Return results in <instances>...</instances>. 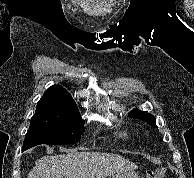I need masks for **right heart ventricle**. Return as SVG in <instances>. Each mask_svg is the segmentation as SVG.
<instances>
[{"label":"right heart ventricle","instance_id":"e07e8e85","mask_svg":"<svg viewBox=\"0 0 194 178\" xmlns=\"http://www.w3.org/2000/svg\"><path fill=\"white\" fill-rule=\"evenodd\" d=\"M128 135L126 133L121 134V137H127Z\"/></svg>","mask_w":194,"mask_h":178}]
</instances>
